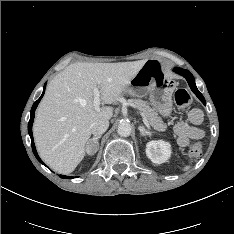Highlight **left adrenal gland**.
<instances>
[{"label":"left adrenal gland","mask_w":234,"mask_h":234,"mask_svg":"<svg viewBox=\"0 0 234 234\" xmlns=\"http://www.w3.org/2000/svg\"><path fill=\"white\" fill-rule=\"evenodd\" d=\"M138 130L140 131V135H141V136H144V137L149 136V137H151V135H152V132L148 131V130L145 129V127H143V126H139V127H138Z\"/></svg>","instance_id":"obj_1"}]
</instances>
